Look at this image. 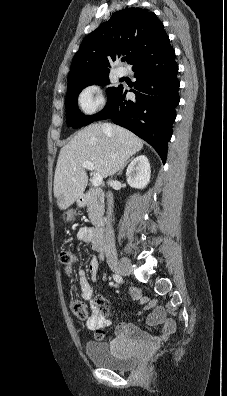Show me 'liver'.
<instances>
[{"mask_svg": "<svg viewBox=\"0 0 227 396\" xmlns=\"http://www.w3.org/2000/svg\"><path fill=\"white\" fill-rule=\"evenodd\" d=\"M142 147L139 137L117 125L96 123L78 131L59 153L54 176L58 207L65 210L83 195L88 182L83 162H92L95 173L106 178Z\"/></svg>", "mask_w": 227, "mask_h": 396, "instance_id": "liver-1", "label": "liver"}]
</instances>
